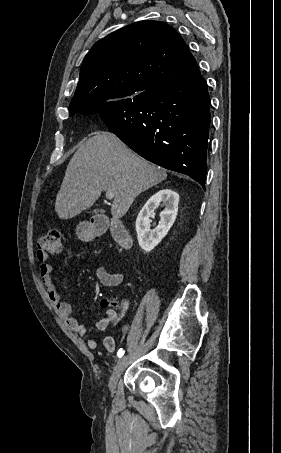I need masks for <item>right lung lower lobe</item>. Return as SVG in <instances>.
<instances>
[{
    "instance_id": "obj_1",
    "label": "right lung lower lobe",
    "mask_w": 281,
    "mask_h": 453,
    "mask_svg": "<svg viewBox=\"0 0 281 453\" xmlns=\"http://www.w3.org/2000/svg\"><path fill=\"white\" fill-rule=\"evenodd\" d=\"M108 128L145 159L205 188L211 122L207 83L197 64L181 77L98 111Z\"/></svg>"
}]
</instances>
